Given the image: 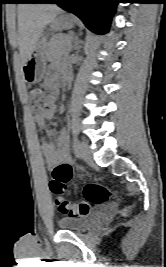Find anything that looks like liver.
<instances>
[{
	"instance_id": "liver-1",
	"label": "liver",
	"mask_w": 166,
	"mask_h": 267,
	"mask_svg": "<svg viewBox=\"0 0 166 267\" xmlns=\"http://www.w3.org/2000/svg\"><path fill=\"white\" fill-rule=\"evenodd\" d=\"M62 10L57 5L23 3L18 6V45L23 64L33 51L46 25Z\"/></svg>"
}]
</instances>
